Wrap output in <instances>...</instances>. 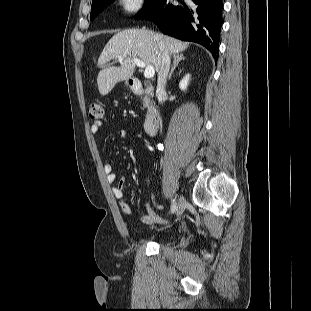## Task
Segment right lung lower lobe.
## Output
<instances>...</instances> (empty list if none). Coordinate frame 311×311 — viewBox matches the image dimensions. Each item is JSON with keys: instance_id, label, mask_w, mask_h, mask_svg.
<instances>
[{"instance_id": "1", "label": "right lung lower lobe", "mask_w": 311, "mask_h": 311, "mask_svg": "<svg viewBox=\"0 0 311 311\" xmlns=\"http://www.w3.org/2000/svg\"><path fill=\"white\" fill-rule=\"evenodd\" d=\"M160 0L143 17L155 22L164 33L175 38L199 43L218 59L222 27V0ZM141 17V18H143Z\"/></svg>"}]
</instances>
